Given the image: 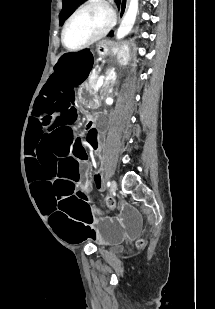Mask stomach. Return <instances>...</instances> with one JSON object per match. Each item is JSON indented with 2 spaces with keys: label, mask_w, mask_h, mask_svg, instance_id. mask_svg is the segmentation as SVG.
<instances>
[{
  "label": "stomach",
  "mask_w": 215,
  "mask_h": 309,
  "mask_svg": "<svg viewBox=\"0 0 215 309\" xmlns=\"http://www.w3.org/2000/svg\"><path fill=\"white\" fill-rule=\"evenodd\" d=\"M97 52L100 56H115L120 63H125L130 56V48L128 43L114 44L110 41H102L97 45ZM96 92L90 84L82 87L80 95L89 102L97 99Z\"/></svg>",
  "instance_id": "obj_1"
}]
</instances>
